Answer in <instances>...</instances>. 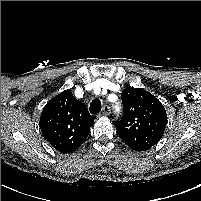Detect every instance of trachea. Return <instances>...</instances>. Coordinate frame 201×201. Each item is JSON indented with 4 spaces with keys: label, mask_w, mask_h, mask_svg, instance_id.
Here are the masks:
<instances>
[{
    "label": "trachea",
    "mask_w": 201,
    "mask_h": 201,
    "mask_svg": "<svg viewBox=\"0 0 201 201\" xmlns=\"http://www.w3.org/2000/svg\"><path fill=\"white\" fill-rule=\"evenodd\" d=\"M90 112L91 114H97L101 111V101L96 98L90 103Z\"/></svg>",
    "instance_id": "3493384b"
}]
</instances>
